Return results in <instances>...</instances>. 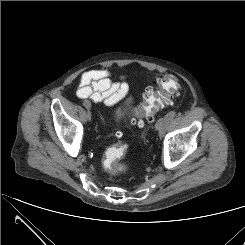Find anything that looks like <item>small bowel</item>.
<instances>
[{"label":"small bowel","instance_id":"1","mask_svg":"<svg viewBox=\"0 0 245 245\" xmlns=\"http://www.w3.org/2000/svg\"><path fill=\"white\" fill-rule=\"evenodd\" d=\"M129 92V85L125 81L113 82L110 72L106 69H96L85 72L78 84L77 96L90 99L96 103L113 106Z\"/></svg>","mask_w":245,"mask_h":245}]
</instances>
